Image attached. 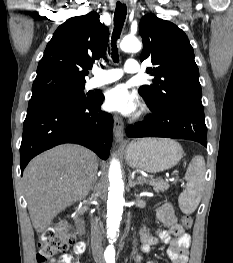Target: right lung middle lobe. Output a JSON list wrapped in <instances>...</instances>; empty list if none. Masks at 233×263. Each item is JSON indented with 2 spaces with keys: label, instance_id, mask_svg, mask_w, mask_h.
Here are the masks:
<instances>
[{
  "label": "right lung middle lobe",
  "instance_id": "1",
  "mask_svg": "<svg viewBox=\"0 0 233 263\" xmlns=\"http://www.w3.org/2000/svg\"><path fill=\"white\" fill-rule=\"evenodd\" d=\"M83 89L84 85L76 88L32 96L29 101L28 110L54 104L74 105L88 102L92 97H86Z\"/></svg>",
  "mask_w": 233,
  "mask_h": 263
}]
</instances>
